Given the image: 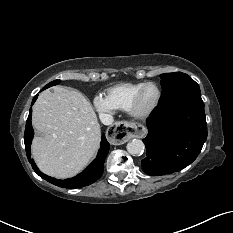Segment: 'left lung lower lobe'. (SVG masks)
<instances>
[{
	"mask_svg": "<svg viewBox=\"0 0 233 233\" xmlns=\"http://www.w3.org/2000/svg\"><path fill=\"white\" fill-rule=\"evenodd\" d=\"M146 125L148 134L143 142L147 157L141 161L142 170L151 176H161L187 167L207 139L200 91H188L160 103Z\"/></svg>",
	"mask_w": 233,
	"mask_h": 233,
	"instance_id": "left-lung-lower-lobe-1",
	"label": "left lung lower lobe"
}]
</instances>
